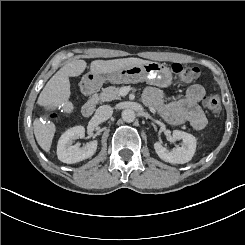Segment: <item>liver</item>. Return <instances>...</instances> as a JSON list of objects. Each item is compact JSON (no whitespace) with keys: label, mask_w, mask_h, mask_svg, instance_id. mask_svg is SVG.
Instances as JSON below:
<instances>
[{"label":"liver","mask_w":245,"mask_h":245,"mask_svg":"<svg viewBox=\"0 0 245 245\" xmlns=\"http://www.w3.org/2000/svg\"><path fill=\"white\" fill-rule=\"evenodd\" d=\"M149 61L140 58H123L114 60H95L91 62L90 70L92 73L106 74L118 71L125 67L133 65H141ZM87 64L84 60H74L64 65L57 73L47 82L41 91L37 103L41 106H60L64 112L71 113L73 104L69 101L70 82L69 77L79 76L86 68ZM33 129L36 140L40 147L49 152L52 139L56 131L54 123L42 124L41 121L35 119Z\"/></svg>","instance_id":"liver-1"}]
</instances>
